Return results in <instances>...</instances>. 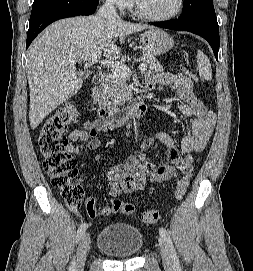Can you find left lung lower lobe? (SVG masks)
I'll use <instances>...</instances> for the list:
<instances>
[{"mask_svg":"<svg viewBox=\"0 0 253 271\" xmlns=\"http://www.w3.org/2000/svg\"><path fill=\"white\" fill-rule=\"evenodd\" d=\"M155 26L177 31H189L203 37L212 47L217 59L219 51V26L214 9L189 21H183L179 18L167 23L155 24Z\"/></svg>","mask_w":253,"mask_h":271,"instance_id":"obj_1","label":"left lung lower lobe"}]
</instances>
